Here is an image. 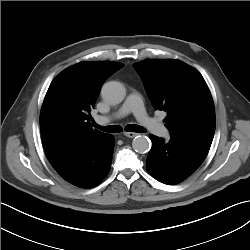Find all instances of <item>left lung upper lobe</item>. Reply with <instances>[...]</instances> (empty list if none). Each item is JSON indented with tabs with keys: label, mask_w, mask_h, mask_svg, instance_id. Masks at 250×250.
I'll return each mask as SVG.
<instances>
[{
	"label": "left lung upper lobe",
	"mask_w": 250,
	"mask_h": 250,
	"mask_svg": "<svg viewBox=\"0 0 250 250\" xmlns=\"http://www.w3.org/2000/svg\"><path fill=\"white\" fill-rule=\"evenodd\" d=\"M155 110L167 112L171 136L213 140L215 111L201 74L179 60L147 59L133 64Z\"/></svg>",
	"instance_id": "5c2ea615"
}]
</instances>
